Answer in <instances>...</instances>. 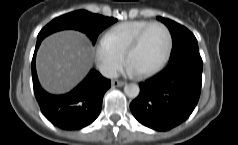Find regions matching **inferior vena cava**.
Here are the masks:
<instances>
[{
    "label": "inferior vena cava",
    "mask_w": 238,
    "mask_h": 145,
    "mask_svg": "<svg viewBox=\"0 0 238 145\" xmlns=\"http://www.w3.org/2000/svg\"><path fill=\"white\" fill-rule=\"evenodd\" d=\"M99 71L106 78H117L118 77V73H117L116 69L113 67H110V66L102 65L99 68Z\"/></svg>",
    "instance_id": "obj_1"
}]
</instances>
